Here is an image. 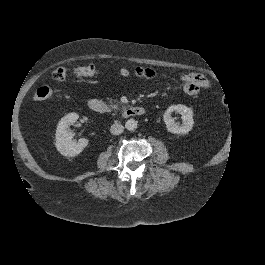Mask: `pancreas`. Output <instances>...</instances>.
I'll use <instances>...</instances> for the list:
<instances>
[{
  "instance_id": "obj_1",
  "label": "pancreas",
  "mask_w": 265,
  "mask_h": 265,
  "mask_svg": "<svg viewBox=\"0 0 265 265\" xmlns=\"http://www.w3.org/2000/svg\"><path fill=\"white\" fill-rule=\"evenodd\" d=\"M108 100L110 101V104L108 105V109L109 111L111 110H118V109H126V106L123 105L121 102H118L117 100H113L111 98H108Z\"/></svg>"
}]
</instances>
